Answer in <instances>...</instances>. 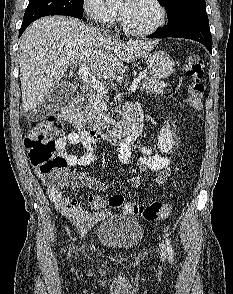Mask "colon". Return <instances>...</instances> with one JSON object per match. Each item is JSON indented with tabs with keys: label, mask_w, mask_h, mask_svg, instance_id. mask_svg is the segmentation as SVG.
I'll return each mask as SVG.
<instances>
[{
	"label": "colon",
	"mask_w": 233,
	"mask_h": 294,
	"mask_svg": "<svg viewBox=\"0 0 233 294\" xmlns=\"http://www.w3.org/2000/svg\"><path fill=\"white\" fill-rule=\"evenodd\" d=\"M189 80L188 102L192 110L199 113L203 107L205 86L204 61L199 55H191L184 68ZM63 130L61 120L57 116L37 122L28 132L25 139V147L31 164L39 172L47 177L50 184L59 190H63L71 184V178L66 171L67 160L59 154L55 135ZM110 207L124 206V210L133 215H142L147 220H162L168 215V207L154 201L147 205L134 202L124 203L122 195H114L108 202Z\"/></svg>",
	"instance_id": "5ec220e1"
}]
</instances>
